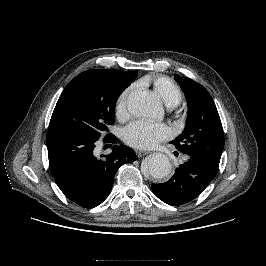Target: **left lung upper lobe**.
Here are the masks:
<instances>
[{
    "label": "left lung upper lobe",
    "instance_id": "left-lung-upper-lobe-1",
    "mask_svg": "<svg viewBox=\"0 0 266 266\" xmlns=\"http://www.w3.org/2000/svg\"><path fill=\"white\" fill-rule=\"evenodd\" d=\"M188 103L185 130L171 143L182 153L194 156L216 167L224 148L221 120L209 92L189 78L175 76Z\"/></svg>",
    "mask_w": 266,
    "mask_h": 266
}]
</instances>
